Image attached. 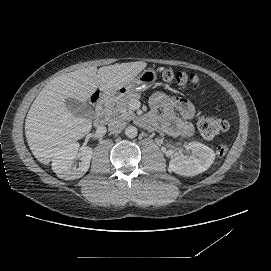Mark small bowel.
Masks as SVG:
<instances>
[{"label": "small bowel", "instance_id": "obj_1", "mask_svg": "<svg viewBox=\"0 0 271 271\" xmlns=\"http://www.w3.org/2000/svg\"><path fill=\"white\" fill-rule=\"evenodd\" d=\"M152 117L157 119L161 128L172 136L189 137L194 133L191 120L196 115L193 104L181 97L156 92L150 98Z\"/></svg>", "mask_w": 271, "mask_h": 271}]
</instances>
